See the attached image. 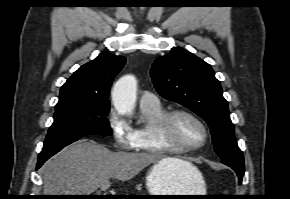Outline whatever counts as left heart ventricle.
<instances>
[{"mask_svg": "<svg viewBox=\"0 0 290 199\" xmlns=\"http://www.w3.org/2000/svg\"><path fill=\"white\" fill-rule=\"evenodd\" d=\"M169 138L182 146H195L203 140V130L193 119L177 116L172 120Z\"/></svg>", "mask_w": 290, "mask_h": 199, "instance_id": "b2bd125f", "label": "left heart ventricle"}]
</instances>
